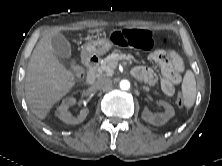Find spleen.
<instances>
[{
	"label": "spleen",
	"instance_id": "obj_1",
	"mask_svg": "<svg viewBox=\"0 0 222 166\" xmlns=\"http://www.w3.org/2000/svg\"><path fill=\"white\" fill-rule=\"evenodd\" d=\"M196 93L195 76L191 70H187L182 82L183 104L186 108L194 105Z\"/></svg>",
	"mask_w": 222,
	"mask_h": 166
}]
</instances>
